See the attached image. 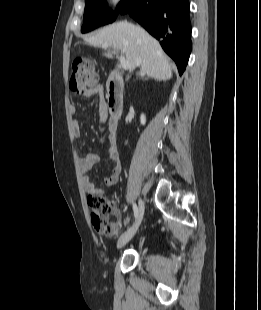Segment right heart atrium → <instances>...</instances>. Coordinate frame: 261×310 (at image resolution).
<instances>
[{"mask_svg":"<svg viewBox=\"0 0 261 310\" xmlns=\"http://www.w3.org/2000/svg\"><path fill=\"white\" fill-rule=\"evenodd\" d=\"M110 6L114 9H119L124 4V0H108Z\"/></svg>","mask_w":261,"mask_h":310,"instance_id":"1","label":"right heart atrium"}]
</instances>
